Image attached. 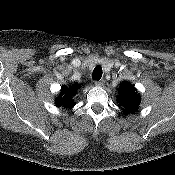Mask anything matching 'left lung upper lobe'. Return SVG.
I'll return each instance as SVG.
<instances>
[{"label":"left lung upper lobe","mask_w":175,"mask_h":175,"mask_svg":"<svg viewBox=\"0 0 175 175\" xmlns=\"http://www.w3.org/2000/svg\"><path fill=\"white\" fill-rule=\"evenodd\" d=\"M117 102L122 107L125 114L135 113L141 102V97L137 93L134 85L123 82L119 87Z\"/></svg>","instance_id":"obj_1"}]
</instances>
